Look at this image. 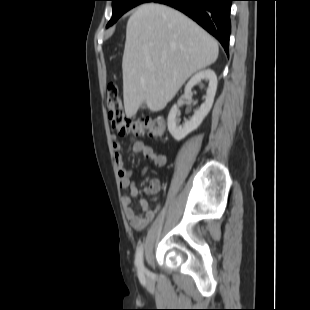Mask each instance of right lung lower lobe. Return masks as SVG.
I'll return each mask as SVG.
<instances>
[{
  "instance_id": "1",
  "label": "right lung lower lobe",
  "mask_w": 310,
  "mask_h": 310,
  "mask_svg": "<svg viewBox=\"0 0 310 310\" xmlns=\"http://www.w3.org/2000/svg\"><path fill=\"white\" fill-rule=\"evenodd\" d=\"M183 12L219 40L228 53L230 10L234 0H149Z\"/></svg>"
}]
</instances>
